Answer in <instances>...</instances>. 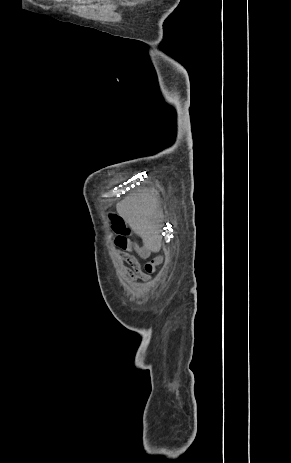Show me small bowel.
Instances as JSON below:
<instances>
[{
  "mask_svg": "<svg viewBox=\"0 0 291 463\" xmlns=\"http://www.w3.org/2000/svg\"><path fill=\"white\" fill-rule=\"evenodd\" d=\"M115 245L119 249L118 255L127 265H123V271L128 275L129 279L135 281H149L150 273L154 272L156 265L161 263V257H156L145 265V272L142 271L138 257H149L151 246H138L129 235L115 236ZM151 265L150 269L146 266Z\"/></svg>",
  "mask_w": 291,
  "mask_h": 463,
  "instance_id": "obj_1",
  "label": "small bowel"
}]
</instances>
